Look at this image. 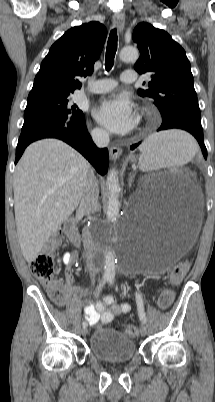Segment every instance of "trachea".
I'll list each match as a JSON object with an SVG mask.
<instances>
[{
  "label": "trachea",
  "mask_w": 215,
  "mask_h": 402,
  "mask_svg": "<svg viewBox=\"0 0 215 402\" xmlns=\"http://www.w3.org/2000/svg\"><path fill=\"white\" fill-rule=\"evenodd\" d=\"M117 51V31L113 29L110 32L105 57V68L107 71L111 70L114 65V57Z\"/></svg>",
  "instance_id": "trachea-1"
}]
</instances>
